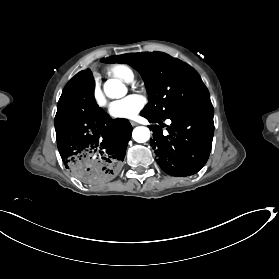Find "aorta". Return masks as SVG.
<instances>
[{"label":"aorta","mask_w":279,"mask_h":279,"mask_svg":"<svg viewBox=\"0 0 279 279\" xmlns=\"http://www.w3.org/2000/svg\"><path fill=\"white\" fill-rule=\"evenodd\" d=\"M104 92L107 97L115 99L126 95V86L117 79H109L104 84ZM133 139L138 143L147 142L150 138V130L147 127H136L132 132Z\"/></svg>","instance_id":"aorta-1"}]
</instances>
